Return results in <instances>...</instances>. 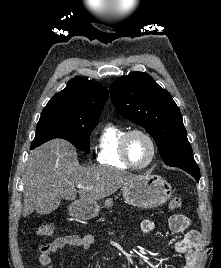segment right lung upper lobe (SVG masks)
Returning a JSON list of instances; mask_svg holds the SVG:
<instances>
[{"label": "right lung upper lobe", "mask_w": 221, "mask_h": 268, "mask_svg": "<svg viewBox=\"0 0 221 268\" xmlns=\"http://www.w3.org/2000/svg\"><path fill=\"white\" fill-rule=\"evenodd\" d=\"M109 97L101 84L81 77L72 78L55 94L42 112H61L83 119L98 120Z\"/></svg>", "instance_id": "right-lung-upper-lobe-1"}]
</instances>
